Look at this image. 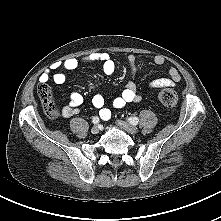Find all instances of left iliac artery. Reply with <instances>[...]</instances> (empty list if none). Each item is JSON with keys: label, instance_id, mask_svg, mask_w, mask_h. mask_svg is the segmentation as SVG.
<instances>
[{"label": "left iliac artery", "instance_id": "1", "mask_svg": "<svg viewBox=\"0 0 221 221\" xmlns=\"http://www.w3.org/2000/svg\"><path fill=\"white\" fill-rule=\"evenodd\" d=\"M128 122L132 125H137L139 122V119H138V117H130V118H128Z\"/></svg>", "mask_w": 221, "mask_h": 221}]
</instances>
